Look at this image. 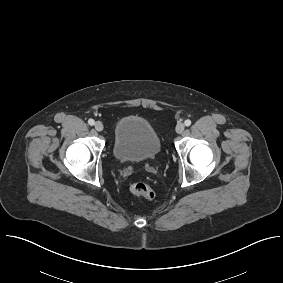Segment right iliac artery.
Here are the masks:
<instances>
[{"instance_id":"obj_1","label":"right iliac artery","mask_w":283,"mask_h":283,"mask_svg":"<svg viewBox=\"0 0 283 283\" xmlns=\"http://www.w3.org/2000/svg\"><path fill=\"white\" fill-rule=\"evenodd\" d=\"M88 123H89V125H91V126H92V125H94V124H95V121H94L93 119H89V120H88Z\"/></svg>"}]
</instances>
